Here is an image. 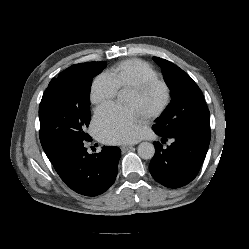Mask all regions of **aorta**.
<instances>
[{
    "instance_id": "obj_1",
    "label": "aorta",
    "mask_w": 249,
    "mask_h": 249,
    "mask_svg": "<svg viewBox=\"0 0 249 249\" xmlns=\"http://www.w3.org/2000/svg\"><path fill=\"white\" fill-rule=\"evenodd\" d=\"M119 99L122 100L123 99V93L120 92L118 95ZM138 155L145 160L151 159L154 154H155V148L154 145L152 143L149 142H142L139 144L138 148Z\"/></svg>"
}]
</instances>
